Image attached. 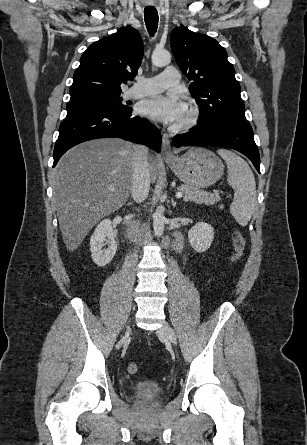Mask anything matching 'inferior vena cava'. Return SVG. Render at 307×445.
I'll use <instances>...</instances> for the list:
<instances>
[{
  "instance_id": "602c4592",
  "label": "inferior vena cava",
  "mask_w": 307,
  "mask_h": 445,
  "mask_svg": "<svg viewBox=\"0 0 307 445\" xmlns=\"http://www.w3.org/2000/svg\"><path fill=\"white\" fill-rule=\"evenodd\" d=\"M132 196L142 202L148 196L151 176L148 164V148L143 144H133Z\"/></svg>"
}]
</instances>
